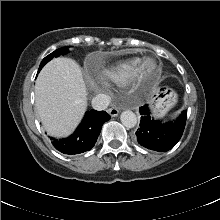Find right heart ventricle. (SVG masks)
<instances>
[{
  "mask_svg": "<svg viewBox=\"0 0 220 220\" xmlns=\"http://www.w3.org/2000/svg\"><path fill=\"white\" fill-rule=\"evenodd\" d=\"M137 64L138 58L118 61L101 69L98 77L106 83L123 85L133 76Z\"/></svg>",
  "mask_w": 220,
  "mask_h": 220,
  "instance_id": "right-heart-ventricle-1",
  "label": "right heart ventricle"
}]
</instances>
